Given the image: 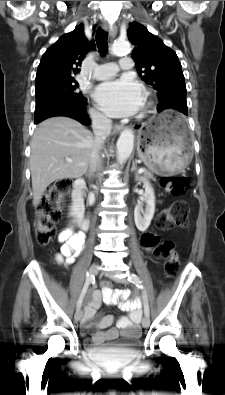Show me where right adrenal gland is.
Segmentation results:
<instances>
[{"label":"right adrenal gland","mask_w":225,"mask_h":395,"mask_svg":"<svg viewBox=\"0 0 225 395\" xmlns=\"http://www.w3.org/2000/svg\"><path fill=\"white\" fill-rule=\"evenodd\" d=\"M86 176H87V177H90V176H91V173H90V172H88V173L86 174Z\"/></svg>","instance_id":"1"}]
</instances>
